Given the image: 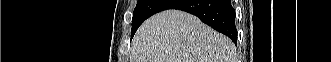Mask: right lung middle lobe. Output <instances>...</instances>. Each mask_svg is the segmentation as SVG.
<instances>
[{"instance_id": "obj_1", "label": "right lung middle lobe", "mask_w": 331, "mask_h": 62, "mask_svg": "<svg viewBox=\"0 0 331 62\" xmlns=\"http://www.w3.org/2000/svg\"><path fill=\"white\" fill-rule=\"evenodd\" d=\"M172 0H138L133 12L131 38L138 27L150 16L160 12Z\"/></svg>"}]
</instances>
